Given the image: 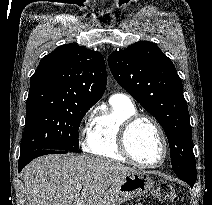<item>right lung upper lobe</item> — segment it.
<instances>
[{
    "label": "right lung upper lobe",
    "instance_id": "obj_1",
    "mask_svg": "<svg viewBox=\"0 0 212 205\" xmlns=\"http://www.w3.org/2000/svg\"><path fill=\"white\" fill-rule=\"evenodd\" d=\"M106 79L101 53L65 44L41 59L26 104L93 105L102 97Z\"/></svg>",
    "mask_w": 212,
    "mask_h": 205
}]
</instances>
